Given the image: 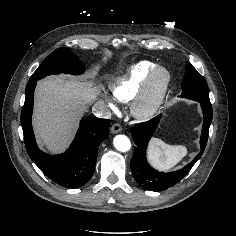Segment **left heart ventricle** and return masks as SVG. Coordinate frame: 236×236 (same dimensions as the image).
<instances>
[{
	"instance_id": "left-heart-ventricle-1",
	"label": "left heart ventricle",
	"mask_w": 236,
	"mask_h": 236,
	"mask_svg": "<svg viewBox=\"0 0 236 236\" xmlns=\"http://www.w3.org/2000/svg\"><path fill=\"white\" fill-rule=\"evenodd\" d=\"M161 80H162V77H159V78L156 80L155 86H154V89H155V90L159 88L160 83H161Z\"/></svg>"
}]
</instances>
